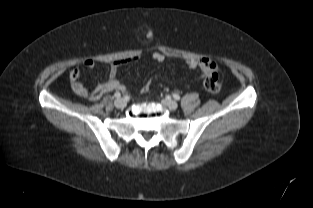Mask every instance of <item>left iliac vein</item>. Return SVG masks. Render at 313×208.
<instances>
[{
	"instance_id": "4c4485c4",
	"label": "left iliac vein",
	"mask_w": 313,
	"mask_h": 208,
	"mask_svg": "<svg viewBox=\"0 0 313 208\" xmlns=\"http://www.w3.org/2000/svg\"><path fill=\"white\" fill-rule=\"evenodd\" d=\"M162 103L171 110H175L178 107L177 102L171 99H164Z\"/></svg>"
}]
</instances>
